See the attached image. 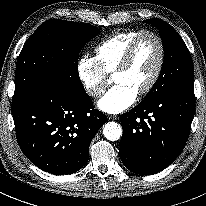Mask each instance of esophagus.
Segmentation results:
<instances>
[{
  "mask_svg": "<svg viewBox=\"0 0 206 206\" xmlns=\"http://www.w3.org/2000/svg\"><path fill=\"white\" fill-rule=\"evenodd\" d=\"M108 119H110V120H117L118 116H116V115H108Z\"/></svg>",
  "mask_w": 206,
  "mask_h": 206,
  "instance_id": "obj_1",
  "label": "esophagus"
}]
</instances>
